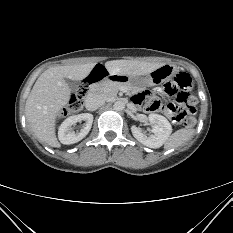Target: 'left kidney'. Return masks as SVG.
I'll list each match as a JSON object with an SVG mask.
<instances>
[{
	"instance_id": "left-kidney-1",
	"label": "left kidney",
	"mask_w": 233,
	"mask_h": 233,
	"mask_svg": "<svg viewBox=\"0 0 233 233\" xmlns=\"http://www.w3.org/2000/svg\"><path fill=\"white\" fill-rule=\"evenodd\" d=\"M148 120L153 128V134L151 136L148 137L143 134L140 128L136 127L135 125L131 127V132L133 136L143 145L150 148H159L167 141L172 133L171 124L165 117L159 114H150L148 116Z\"/></svg>"
}]
</instances>
